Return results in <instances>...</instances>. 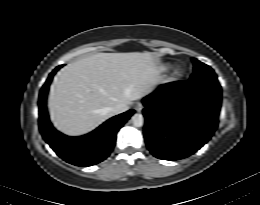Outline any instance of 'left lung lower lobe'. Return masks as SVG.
Here are the masks:
<instances>
[{
	"mask_svg": "<svg viewBox=\"0 0 260 205\" xmlns=\"http://www.w3.org/2000/svg\"><path fill=\"white\" fill-rule=\"evenodd\" d=\"M143 104L148 149L159 159L179 160L195 153L213 135L221 87L191 81L164 84Z\"/></svg>",
	"mask_w": 260,
	"mask_h": 205,
	"instance_id": "0a47b994",
	"label": "left lung lower lobe"
}]
</instances>
